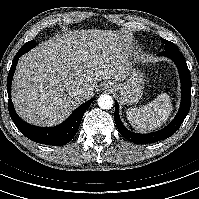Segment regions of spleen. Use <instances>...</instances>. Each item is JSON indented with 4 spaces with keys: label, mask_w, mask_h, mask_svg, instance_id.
Instances as JSON below:
<instances>
[{
    "label": "spleen",
    "mask_w": 199,
    "mask_h": 199,
    "mask_svg": "<svg viewBox=\"0 0 199 199\" xmlns=\"http://www.w3.org/2000/svg\"><path fill=\"white\" fill-rule=\"evenodd\" d=\"M172 111L170 96L158 95L152 102L141 108L128 109L127 119L141 132L155 130L167 121Z\"/></svg>",
    "instance_id": "obj_1"
}]
</instances>
